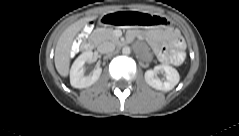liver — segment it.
<instances>
[{
    "instance_id": "6515ba94",
    "label": "liver",
    "mask_w": 239,
    "mask_h": 136,
    "mask_svg": "<svg viewBox=\"0 0 239 136\" xmlns=\"http://www.w3.org/2000/svg\"><path fill=\"white\" fill-rule=\"evenodd\" d=\"M96 19V16L81 18L69 27H67L58 39L55 48V67L58 73L67 77L70 66V51L76 34L90 21Z\"/></svg>"
}]
</instances>
